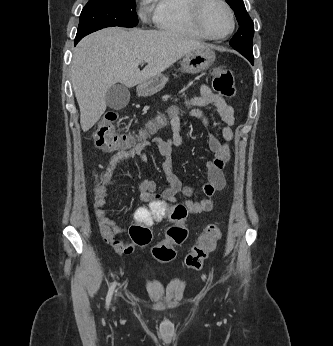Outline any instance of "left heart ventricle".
I'll return each instance as SVG.
<instances>
[{
  "label": "left heart ventricle",
  "mask_w": 333,
  "mask_h": 346,
  "mask_svg": "<svg viewBox=\"0 0 333 346\" xmlns=\"http://www.w3.org/2000/svg\"><path fill=\"white\" fill-rule=\"evenodd\" d=\"M203 20L206 28L214 35H223L230 28V19L225 8L218 2H210L204 12Z\"/></svg>",
  "instance_id": "obj_1"
}]
</instances>
